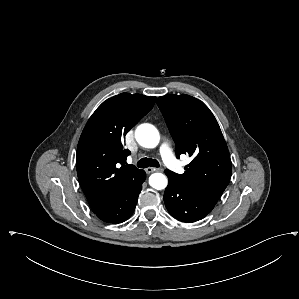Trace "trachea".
<instances>
[{
    "label": "trachea",
    "instance_id": "3493384b",
    "mask_svg": "<svg viewBox=\"0 0 299 299\" xmlns=\"http://www.w3.org/2000/svg\"><path fill=\"white\" fill-rule=\"evenodd\" d=\"M137 166L139 168H147V167H159L160 165L156 159L145 157L138 161Z\"/></svg>",
    "mask_w": 299,
    "mask_h": 299
}]
</instances>
